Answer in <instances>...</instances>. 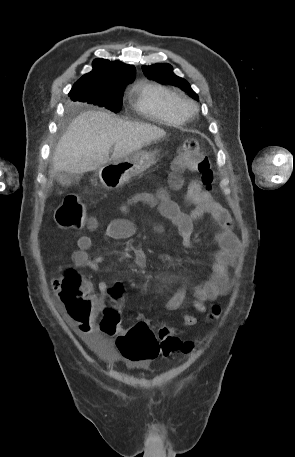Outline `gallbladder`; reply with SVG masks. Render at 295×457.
I'll list each match as a JSON object with an SVG mask.
<instances>
[{
  "label": "gallbladder",
  "instance_id": "1",
  "mask_svg": "<svg viewBox=\"0 0 295 457\" xmlns=\"http://www.w3.org/2000/svg\"><path fill=\"white\" fill-rule=\"evenodd\" d=\"M55 179L62 185V186H69L73 182H77L78 176L74 174H70L67 172H57L55 174Z\"/></svg>",
  "mask_w": 295,
  "mask_h": 457
}]
</instances>
